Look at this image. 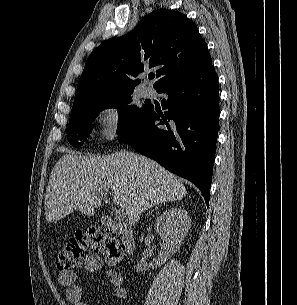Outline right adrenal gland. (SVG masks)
I'll use <instances>...</instances> for the list:
<instances>
[{
	"label": "right adrenal gland",
	"instance_id": "right-adrenal-gland-1",
	"mask_svg": "<svg viewBox=\"0 0 297 305\" xmlns=\"http://www.w3.org/2000/svg\"><path fill=\"white\" fill-rule=\"evenodd\" d=\"M159 205H160V204H159ZM159 205H156L154 209H158ZM154 209H152L151 211H149L147 215H150V213L153 212Z\"/></svg>",
	"mask_w": 297,
	"mask_h": 305
}]
</instances>
